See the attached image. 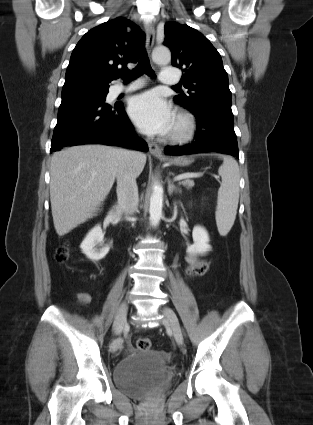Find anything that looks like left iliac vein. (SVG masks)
Returning <instances> with one entry per match:
<instances>
[{
	"instance_id": "4c4485c4",
	"label": "left iliac vein",
	"mask_w": 313,
	"mask_h": 425,
	"mask_svg": "<svg viewBox=\"0 0 313 425\" xmlns=\"http://www.w3.org/2000/svg\"><path fill=\"white\" fill-rule=\"evenodd\" d=\"M162 313L164 315L165 321L166 323L171 327L174 338L177 342L178 345L182 346L184 343V339H183V334H182V330L179 324V320L175 314V312L168 308L165 307L162 310Z\"/></svg>"
}]
</instances>
